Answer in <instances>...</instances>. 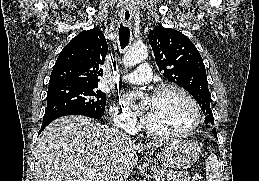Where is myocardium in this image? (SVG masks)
I'll use <instances>...</instances> for the list:
<instances>
[{
  "label": "myocardium",
  "instance_id": "f54148a6",
  "mask_svg": "<svg viewBox=\"0 0 259 181\" xmlns=\"http://www.w3.org/2000/svg\"><path fill=\"white\" fill-rule=\"evenodd\" d=\"M168 91H175L179 93L181 96L185 98V100L188 102L189 106L191 107L193 118L190 125L184 129L176 130V131H159L150 128L144 121L143 118H141L140 124L142 129L149 135L158 137V138H170V137H183L191 134L200 124L201 122V111L200 108L196 102V100L193 98V96L183 87L173 84V83H167L163 84L159 87H157L153 93L152 97L159 96L162 93L168 92Z\"/></svg>",
  "mask_w": 259,
  "mask_h": 181
}]
</instances>
